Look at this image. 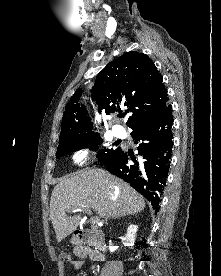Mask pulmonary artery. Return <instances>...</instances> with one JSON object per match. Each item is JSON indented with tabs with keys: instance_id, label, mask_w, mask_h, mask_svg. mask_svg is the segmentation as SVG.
Returning <instances> with one entry per match:
<instances>
[{
	"instance_id": "e3ab8cb5",
	"label": "pulmonary artery",
	"mask_w": 221,
	"mask_h": 276,
	"mask_svg": "<svg viewBox=\"0 0 221 276\" xmlns=\"http://www.w3.org/2000/svg\"><path fill=\"white\" fill-rule=\"evenodd\" d=\"M112 132L116 137H123L124 133H125L124 129L121 126H118V125L113 127Z\"/></svg>"
}]
</instances>
